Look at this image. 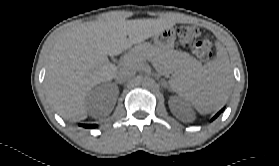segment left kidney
I'll use <instances>...</instances> for the list:
<instances>
[{"label":"left kidney","mask_w":279,"mask_h":166,"mask_svg":"<svg viewBox=\"0 0 279 166\" xmlns=\"http://www.w3.org/2000/svg\"><path fill=\"white\" fill-rule=\"evenodd\" d=\"M180 106H181V107H183V108L185 107V106H183V104H182V103H180Z\"/></svg>","instance_id":"obj_1"}]
</instances>
